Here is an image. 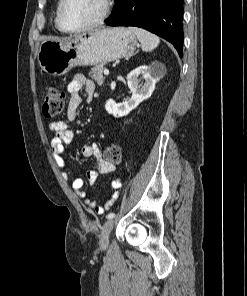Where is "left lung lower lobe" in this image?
<instances>
[{
  "mask_svg": "<svg viewBox=\"0 0 247 296\" xmlns=\"http://www.w3.org/2000/svg\"><path fill=\"white\" fill-rule=\"evenodd\" d=\"M184 0H115L109 26H136L164 38L183 54Z\"/></svg>",
  "mask_w": 247,
  "mask_h": 296,
  "instance_id": "left-lung-lower-lobe-1",
  "label": "left lung lower lobe"
}]
</instances>
